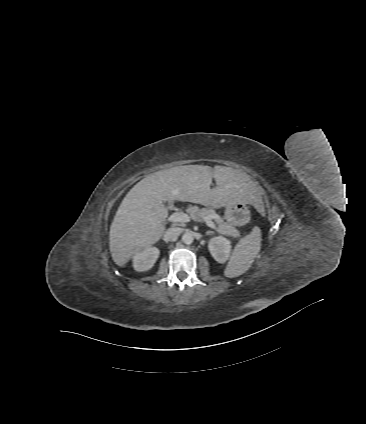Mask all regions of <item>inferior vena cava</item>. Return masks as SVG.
Segmentation results:
<instances>
[{
    "label": "inferior vena cava",
    "mask_w": 366,
    "mask_h": 424,
    "mask_svg": "<svg viewBox=\"0 0 366 424\" xmlns=\"http://www.w3.org/2000/svg\"><path fill=\"white\" fill-rule=\"evenodd\" d=\"M181 232H182V229L181 228H179V227H171V228H169L165 232V234L163 236V240L165 242H169L171 240H174V239H176L181 234Z\"/></svg>",
    "instance_id": "inferior-vena-cava-1"
}]
</instances>
